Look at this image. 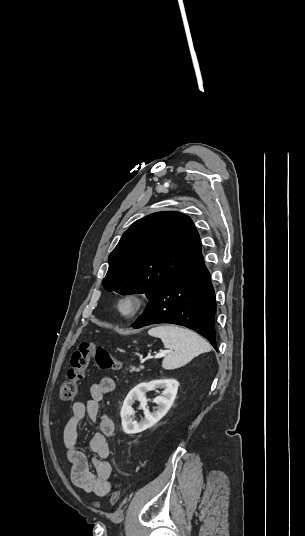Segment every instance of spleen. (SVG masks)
Here are the masks:
<instances>
[{
	"label": "spleen",
	"mask_w": 305,
	"mask_h": 536,
	"mask_svg": "<svg viewBox=\"0 0 305 536\" xmlns=\"http://www.w3.org/2000/svg\"><path fill=\"white\" fill-rule=\"evenodd\" d=\"M148 334L154 338H161L164 348L174 350L165 356L162 362L164 370L182 368L199 354L211 350L210 344L205 342L201 336L187 330V328H179L173 324H157V328H151Z\"/></svg>",
	"instance_id": "obj_1"
}]
</instances>
